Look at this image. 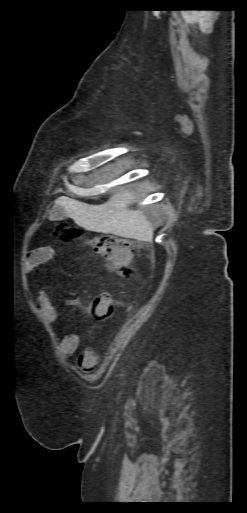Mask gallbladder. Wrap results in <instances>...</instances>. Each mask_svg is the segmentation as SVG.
I'll return each mask as SVG.
<instances>
[{
	"mask_svg": "<svg viewBox=\"0 0 247 513\" xmlns=\"http://www.w3.org/2000/svg\"><path fill=\"white\" fill-rule=\"evenodd\" d=\"M50 215L54 221L64 220L68 217L67 213L62 207L54 208Z\"/></svg>",
	"mask_w": 247,
	"mask_h": 513,
	"instance_id": "gallbladder-1",
	"label": "gallbladder"
}]
</instances>
